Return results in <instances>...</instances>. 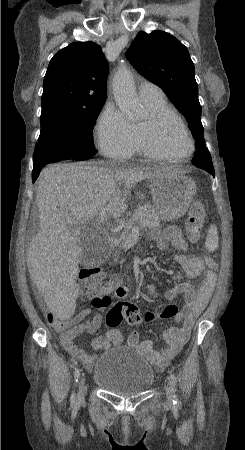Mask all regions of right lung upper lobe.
Segmentation results:
<instances>
[{"label": "right lung upper lobe", "mask_w": 245, "mask_h": 450, "mask_svg": "<svg viewBox=\"0 0 245 450\" xmlns=\"http://www.w3.org/2000/svg\"><path fill=\"white\" fill-rule=\"evenodd\" d=\"M108 63L101 47L76 42L51 59L43 83L42 109L66 106L91 109L104 104Z\"/></svg>", "instance_id": "right-lung-upper-lobe-1"}]
</instances>
